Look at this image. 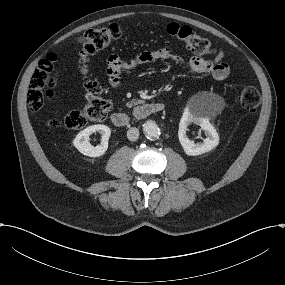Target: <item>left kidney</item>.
Returning <instances> with one entry per match:
<instances>
[{
    "instance_id": "obj_1",
    "label": "left kidney",
    "mask_w": 285,
    "mask_h": 285,
    "mask_svg": "<svg viewBox=\"0 0 285 285\" xmlns=\"http://www.w3.org/2000/svg\"><path fill=\"white\" fill-rule=\"evenodd\" d=\"M188 125L186 122H181L178 131L179 141L186 155L200 156L211 152L219 145V135L208 120L202 119L200 121V127L205 130L207 136V139H205L202 144H194L193 141L189 140L186 134Z\"/></svg>"
}]
</instances>
